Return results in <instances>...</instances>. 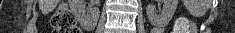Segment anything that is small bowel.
I'll use <instances>...</instances> for the list:
<instances>
[{
	"label": "small bowel",
	"instance_id": "obj_1",
	"mask_svg": "<svg viewBox=\"0 0 235 33\" xmlns=\"http://www.w3.org/2000/svg\"><path fill=\"white\" fill-rule=\"evenodd\" d=\"M162 28L156 27L153 29V33H162Z\"/></svg>",
	"mask_w": 235,
	"mask_h": 33
}]
</instances>
